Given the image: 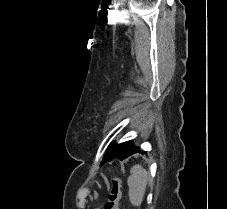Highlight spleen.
Instances as JSON below:
<instances>
[{
  "label": "spleen",
  "mask_w": 227,
  "mask_h": 209,
  "mask_svg": "<svg viewBox=\"0 0 227 209\" xmlns=\"http://www.w3.org/2000/svg\"><path fill=\"white\" fill-rule=\"evenodd\" d=\"M148 181V173L141 165H134L130 169V177H128V195L134 207H141L144 195L146 193Z\"/></svg>",
  "instance_id": "3e777b00"
}]
</instances>
